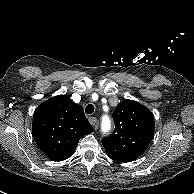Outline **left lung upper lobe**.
<instances>
[{
    "mask_svg": "<svg viewBox=\"0 0 194 194\" xmlns=\"http://www.w3.org/2000/svg\"><path fill=\"white\" fill-rule=\"evenodd\" d=\"M115 130L102 139L107 155L117 162H131L144 153L155 129L154 116L144 105L122 101L113 112Z\"/></svg>",
    "mask_w": 194,
    "mask_h": 194,
    "instance_id": "obj_1",
    "label": "left lung upper lobe"
}]
</instances>
